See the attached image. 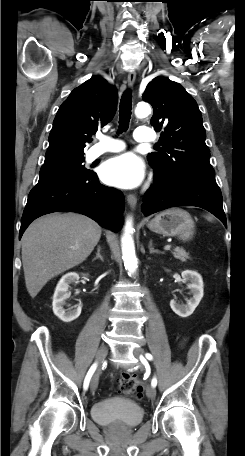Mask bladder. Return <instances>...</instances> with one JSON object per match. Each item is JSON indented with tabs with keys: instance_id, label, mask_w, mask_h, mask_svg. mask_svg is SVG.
Listing matches in <instances>:
<instances>
[{
	"instance_id": "obj_1",
	"label": "bladder",
	"mask_w": 245,
	"mask_h": 456,
	"mask_svg": "<svg viewBox=\"0 0 245 456\" xmlns=\"http://www.w3.org/2000/svg\"><path fill=\"white\" fill-rule=\"evenodd\" d=\"M91 417L104 426L132 428L142 422L144 412L134 401L111 398L95 403L91 407Z\"/></svg>"
}]
</instances>
